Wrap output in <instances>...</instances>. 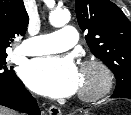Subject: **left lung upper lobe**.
Segmentation results:
<instances>
[{
	"label": "left lung upper lobe",
	"instance_id": "obj_1",
	"mask_svg": "<svg viewBox=\"0 0 131 115\" xmlns=\"http://www.w3.org/2000/svg\"><path fill=\"white\" fill-rule=\"evenodd\" d=\"M77 20L91 52L114 73L112 97L131 99V23L110 0H75Z\"/></svg>",
	"mask_w": 131,
	"mask_h": 115
}]
</instances>
